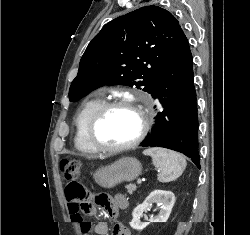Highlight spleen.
Masks as SVG:
<instances>
[{"label":"spleen","mask_w":250,"mask_h":235,"mask_svg":"<svg viewBox=\"0 0 250 235\" xmlns=\"http://www.w3.org/2000/svg\"><path fill=\"white\" fill-rule=\"evenodd\" d=\"M144 155L151 156L153 164L159 168V182L166 183L177 179L186 168L185 158L172 150L153 147L143 151Z\"/></svg>","instance_id":"3e777b00"}]
</instances>
